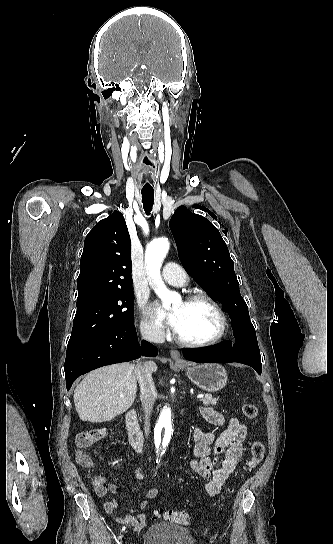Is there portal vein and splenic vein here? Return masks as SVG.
<instances>
[{
    "label": "portal vein and splenic vein",
    "mask_w": 333,
    "mask_h": 544,
    "mask_svg": "<svg viewBox=\"0 0 333 544\" xmlns=\"http://www.w3.org/2000/svg\"><path fill=\"white\" fill-rule=\"evenodd\" d=\"M120 397H123V395H120ZM203 397H204L203 394H198V395H197V398H203Z\"/></svg>",
    "instance_id": "obj_1"
}]
</instances>
